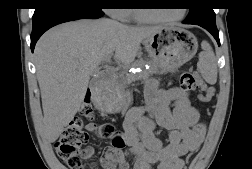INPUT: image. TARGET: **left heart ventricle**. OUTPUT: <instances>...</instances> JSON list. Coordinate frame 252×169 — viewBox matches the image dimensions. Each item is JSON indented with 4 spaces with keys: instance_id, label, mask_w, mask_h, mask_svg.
I'll return each mask as SVG.
<instances>
[{
    "instance_id": "b2bd125f",
    "label": "left heart ventricle",
    "mask_w": 252,
    "mask_h": 169,
    "mask_svg": "<svg viewBox=\"0 0 252 169\" xmlns=\"http://www.w3.org/2000/svg\"><path fill=\"white\" fill-rule=\"evenodd\" d=\"M177 9L172 10H143V13L152 18H171L179 14Z\"/></svg>"
}]
</instances>
